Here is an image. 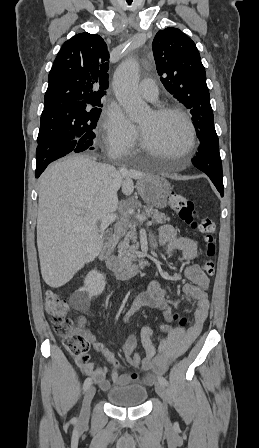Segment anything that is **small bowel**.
Segmentation results:
<instances>
[{
    "label": "small bowel",
    "mask_w": 259,
    "mask_h": 448,
    "mask_svg": "<svg viewBox=\"0 0 259 448\" xmlns=\"http://www.w3.org/2000/svg\"><path fill=\"white\" fill-rule=\"evenodd\" d=\"M159 242L166 247L169 253L175 250L182 252L183 260L187 262V265L183 268V274L187 282L184 283L182 290L187 301L189 303L196 302L197 307L194 313V323L191 326H173L172 311L166 302L165 292L160 283L157 280H153L150 282L148 289L138 297L135 308L130 309L124 315L123 321L128 323L135 310L140 307H150L163 311L165 323L160 326V330L166 336L158 349L151 341L153 330L148 326L143 327L141 330V342L145 356L139 364H135L131 358V354L137 345V338L133 333L127 334L121 347L127 362L133 366L140 367L146 372L142 379V382L146 385H152L155 375L165 373L170 363L182 356L190 348L201 334L209 312L207 293L209 279L199 265L191 263L197 257L199 243L189 237L178 235L175 229L168 224L160 227ZM86 337L92 343L94 350L101 353L116 368L111 374V379H109L107 377L108 367L95 365L90 361L89 355L76 358V363L82 373L90 376L103 391L109 390L112 384L125 386L139 380V376L134 372H120L122 365L113 352L99 342L94 335L87 333Z\"/></svg>",
    "instance_id": "small-bowel-1"
}]
</instances>
